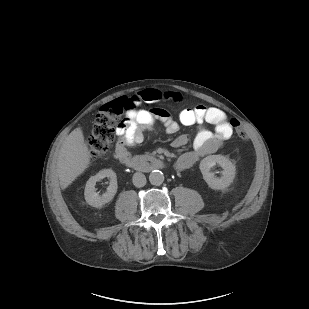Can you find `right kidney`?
I'll return each mask as SVG.
<instances>
[{
  "label": "right kidney",
  "mask_w": 309,
  "mask_h": 309,
  "mask_svg": "<svg viewBox=\"0 0 309 309\" xmlns=\"http://www.w3.org/2000/svg\"><path fill=\"white\" fill-rule=\"evenodd\" d=\"M105 177L110 179V185L107 188V192H105L103 195H99L95 191V185L96 182ZM117 188L118 186L115 172L111 169H104L97 173L95 176L90 177L87 181L84 191L85 200L90 206L101 208L113 199L117 192Z\"/></svg>",
  "instance_id": "obj_1"
}]
</instances>
